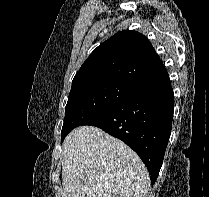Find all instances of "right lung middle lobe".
<instances>
[{
	"mask_svg": "<svg viewBox=\"0 0 209 197\" xmlns=\"http://www.w3.org/2000/svg\"><path fill=\"white\" fill-rule=\"evenodd\" d=\"M137 89L113 80H89L72 83L65 108L61 140L75 127L116 105Z\"/></svg>",
	"mask_w": 209,
	"mask_h": 197,
	"instance_id": "1",
	"label": "right lung middle lobe"
}]
</instances>
